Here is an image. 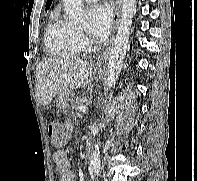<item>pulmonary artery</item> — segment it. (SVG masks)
<instances>
[{"label":"pulmonary artery","instance_id":"obj_1","mask_svg":"<svg viewBox=\"0 0 197 181\" xmlns=\"http://www.w3.org/2000/svg\"><path fill=\"white\" fill-rule=\"evenodd\" d=\"M86 2H95L97 0H85Z\"/></svg>","mask_w":197,"mask_h":181}]
</instances>
